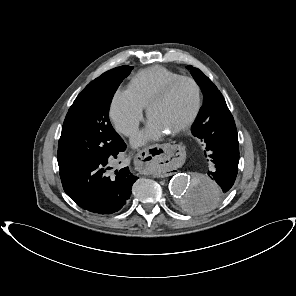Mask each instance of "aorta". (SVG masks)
<instances>
[{
  "mask_svg": "<svg viewBox=\"0 0 296 296\" xmlns=\"http://www.w3.org/2000/svg\"><path fill=\"white\" fill-rule=\"evenodd\" d=\"M169 191L179 207L189 214L210 211L219 197L217 183L210 176L202 173L176 174L170 180Z\"/></svg>",
  "mask_w": 296,
  "mask_h": 296,
  "instance_id": "762f6f07",
  "label": "aorta"
}]
</instances>
